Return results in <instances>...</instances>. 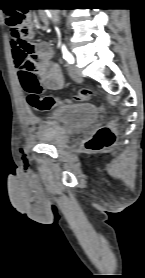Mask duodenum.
<instances>
[{
	"instance_id": "410a0bca",
	"label": "duodenum",
	"mask_w": 145,
	"mask_h": 278,
	"mask_svg": "<svg viewBox=\"0 0 145 278\" xmlns=\"http://www.w3.org/2000/svg\"><path fill=\"white\" fill-rule=\"evenodd\" d=\"M57 14H58V11H57V10H55V11L53 12V15L51 16V21L56 20V18H57ZM46 21H48V18H47V17H46Z\"/></svg>"
}]
</instances>
